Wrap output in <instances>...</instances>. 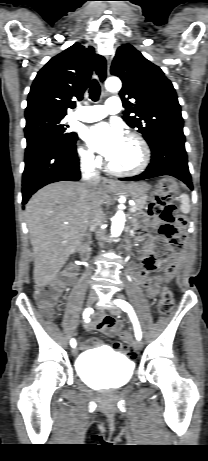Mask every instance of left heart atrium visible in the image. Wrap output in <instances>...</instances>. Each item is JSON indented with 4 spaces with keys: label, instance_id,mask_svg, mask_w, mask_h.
<instances>
[{
    "label": "left heart atrium",
    "instance_id": "obj_1",
    "mask_svg": "<svg viewBox=\"0 0 208 461\" xmlns=\"http://www.w3.org/2000/svg\"><path fill=\"white\" fill-rule=\"evenodd\" d=\"M85 139L95 151L111 159L121 149L125 137L118 126L99 123L86 131Z\"/></svg>",
    "mask_w": 208,
    "mask_h": 461
}]
</instances>
